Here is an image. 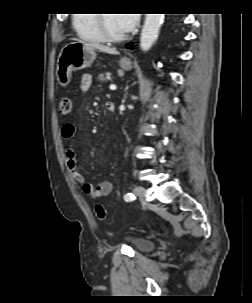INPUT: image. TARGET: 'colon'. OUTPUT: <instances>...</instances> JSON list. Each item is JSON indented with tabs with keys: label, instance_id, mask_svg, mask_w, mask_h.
I'll list each match as a JSON object with an SVG mask.
<instances>
[{
	"label": "colon",
	"instance_id": "5ec220e1",
	"mask_svg": "<svg viewBox=\"0 0 252 303\" xmlns=\"http://www.w3.org/2000/svg\"><path fill=\"white\" fill-rule=\"evenodd\" d=\"M59 108L61 114L63 115L70 114L73 108L72 100L67 96L62 97L59 102ZM95 213L99 220H105L107 217L105 208L100 204H97L95 206Z\"/></svg>",
	"mask_w": 252,
	"mask_h": 303
}]
</instances>
